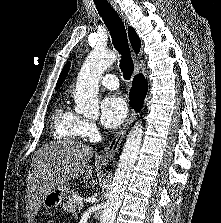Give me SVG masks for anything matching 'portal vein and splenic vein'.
<instances>
[{"label": "portal vein and splenic vein", "instance_id": "portal-vein-and-splenic-vein-1", "mask_svg": "<svg viewBox=\"0 0 221 223\" xmlns=\"http://www.w3.org/2000/svg\"><path fill=\"white\" fill-rule=\"evenodd\" d=\"M79 204L82 206L83 204H82V201H79Z\"/></svg>", "mask_w": 221, "mask_h": 223}]
</instances>
